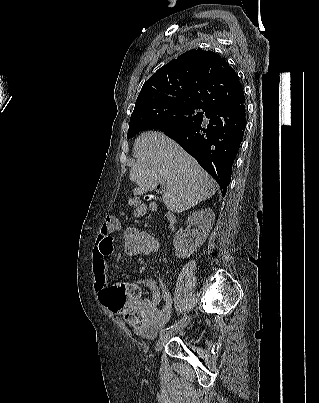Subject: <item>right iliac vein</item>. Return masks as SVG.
<instances>
[{"instance_id": "obj_1", "label": "right iliac vein", "mask_w": 319, "mask_h": 403, "mask_svg": "<svg viewBox=\"0 0 319 403\" xmlns=\"http://www.w3.org/2000/svg\"><path fill=\"white\" fill-rule=\"evenodd\" d=\"M188 321H189V319H188L186 322L182 323L180 326L176 327L174 330H172V331H170V332H168V333L162 334V335L159 337L158 341H157L156 350H157V351H161V350L163 349V347L165 346V344L167 343V341L169 340V338H170L174 333H177V332H179L181 329H183V328L185 327V325L188 323Z\"/></svg>"}]
</instances>
